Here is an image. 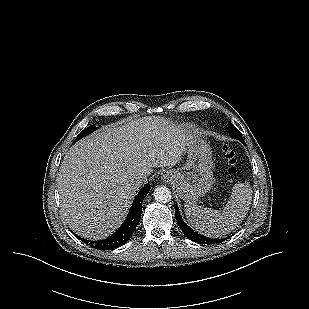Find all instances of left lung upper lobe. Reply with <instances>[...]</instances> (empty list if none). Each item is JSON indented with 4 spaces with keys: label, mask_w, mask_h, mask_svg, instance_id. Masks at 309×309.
Masks as SVG:
<instances>
[{
    "label": "left lung upper lobe",
    "mask_w": 309,
    "mask_h": 309,
    "mask_svg": "<svg viewBox=\"0 0 309 309\" xmlns=\"http://www.w3.org/2000/svg\"><path fill=\"white\" fill-rule=\"evenodd\" d=\"M228 130L230 137L234 139L243 140L240 131L230 121L228 123Z\"/></svg>",
    "instance_id": "1"
}]
</instances>
